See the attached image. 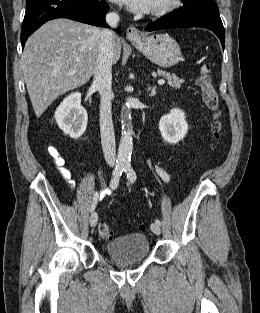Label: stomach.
<instances>
[{"instance_id":"obj_1","label":"stomach","mask_w":260,"mask_h":313,"mask_svg":"<svg viewBox=\"0 0 260 313\" xmlns=\"http://www.w3.org/2000/svg\"><path fill=\"white\" fill-rule=\"evenodd\" d=\"M132 44L149 60L163 68L176 65L181 60V49L174 38L166 33L145 35Z\"/></svg>"}]
</instances>
